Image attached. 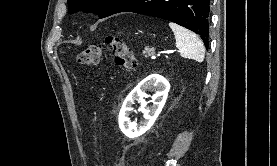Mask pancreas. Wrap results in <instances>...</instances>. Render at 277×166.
<instances>
[{"mask_svg": "<svg viewBox=\"0 0 277 166\" xmlns=\"http://www.w3.org/2000/svg\"><path fill=\"white\" fill-rule=\"evenodd\" d=\"M153 52H154L153 48L146 47L143 51V54H145V57H147V55L150 56V54H152Z\"/></svg>", "mask_w": 277, "mask_h": 166, "instance_id": "cf45deb5", "label": "pancreas"}]
</instances>
